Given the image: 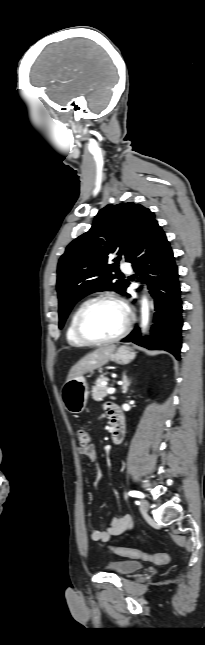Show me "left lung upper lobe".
Returning <instances> with one entry per match:
<instances>
[{"label": "left lung upper lobe", "instance_id": "obj_1", "mask_svg": "<svg viewBox=\"0 0 205 645\" xmlns=\"http://www.w3.org/2000/svg\"><path fill=\"white\" fill-rule=\"evenodd\" d=\"M155 215L140 204L107 205L90 230L72 241L58 263L59 328L84 296L102 290L126 293L127 280L113 282L118 262H131ZM114 258V264L108 260Z\"/></svg>", "mask_w": 205, "mask_h": 645}]
</instances>
